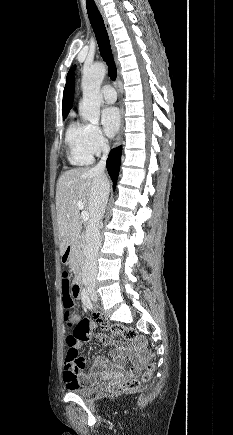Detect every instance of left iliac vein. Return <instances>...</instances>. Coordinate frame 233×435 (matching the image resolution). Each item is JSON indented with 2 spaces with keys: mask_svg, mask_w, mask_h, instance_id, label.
<instances>
[{
  "mask_svg": "<svg viewBox=\"0 0 233 435\" xmlns=\"http://www.w3.org/2000/svg\"><path fill=\"white\" fill-rule=\"evenodd\" d=\"M92 299H93L94 301H96V300H97V296H96L95 294H93V295H92Z\"/></svg>",
  "mask_w": 233,
  "mask_h": 435,
  "instance_id": "4c4485c4",
  "label": "left iliac vein"
}]
</instances>
